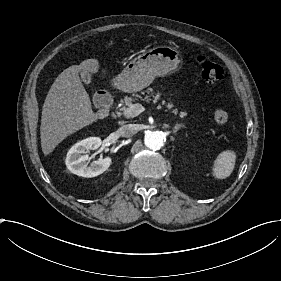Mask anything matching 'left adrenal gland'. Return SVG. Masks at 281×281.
Returning <instances> with one entry per match:
<instances>
[{
    "label": "left adrenal gland",
    "instance_id": "a2214340",
    "mask_svg": "<svg viewBox=\"0 0 281 281\" xmlns=\"http://www.w3.org/2000/svg\"><path fill=\"white\" fill-rule=\"evenodd\" d=\"M181 127H184L181 124H176V126L174 127L173 133H176Z\"/></svg>",
    "mask_w": 281,
    "mask_h": 281
}]
</instances>
